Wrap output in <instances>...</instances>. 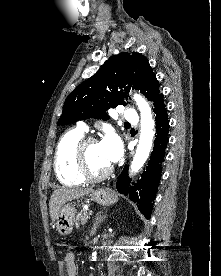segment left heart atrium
Returning <instances> with one entry per match:
<instances>
[{
	"label": "left heart atrium",
	"mask_w": 221,
	"mask_h": 276,
	"mask_svg": "<svg viewBox=\"0 0 221 276\" xmlns=\"http://www.w3.org/2000/svg\"><path fill=\"white\" fill-rule=\"evenodd\" d=\"M101 151L106 160L112 164L116 162L122 154V145L117 135L110 133L100 142Z\"/></svg>",
	"instance_id": "left-heart-atrium-1"
}]
</instances>
